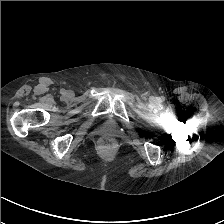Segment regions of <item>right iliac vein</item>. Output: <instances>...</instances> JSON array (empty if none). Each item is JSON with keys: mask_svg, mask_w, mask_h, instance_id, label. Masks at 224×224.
Returning <instances> with one entry per match:
<instances>
[{"mask_svg": "<svg viewBox=\"0 0 224 224\" xmlns=\"http://www.w3.org/2000/svg\"><path fill=\"white\" fill-rule=\"evenodd\" d=\"M67 96H68V97H71V96H72V93H71V92H68V93H67Z\"/></svg>", "mask_w": 224, "mask_h": 224, "instance_id": "63e3f726", "label": "right iliac vein"}]
</instances>
